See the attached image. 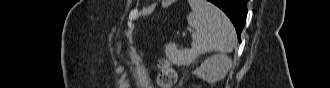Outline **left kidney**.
Here are the masks:
<instances>
[{
  "mask_svg": "<svg viewBox=\"0 0 330 88\" xmlns=\"http://www.w3.org/2000/svg\"><path fill=\"white\" fill-rule=\"evenodd\" d=\"M231 67V58L225 54H216L201 64L197 75L206 79L208 82L215 83L223 79Z\"/></svg>",
  "mask_w": 330,
  "mask_h": 88,
  "instance_id": "1",
  "label": "left kidney"
}]
</instances>
